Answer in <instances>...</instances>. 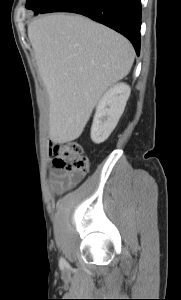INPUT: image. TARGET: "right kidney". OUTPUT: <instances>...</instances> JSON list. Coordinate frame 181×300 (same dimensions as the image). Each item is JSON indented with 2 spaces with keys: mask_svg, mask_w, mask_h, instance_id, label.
<instances>
[{
  "mask_svg": "<svg viewBox=\"0 0 181 300\" xmlns=\"http://www.w3.org/2000/svg\"><path fill=\"white\" fill-rule=\"evenodd\" d=\"M131 89L126 83H117L101 98L91 127V139L95 144L107 140L124 112Z\"/></svg>",
  "mask_w": 181,
  "mask_h": 300,
  "instance_id": "obj_1",
  "label": "right kidney"
}]
</instances>
